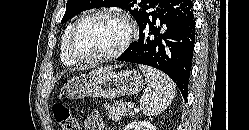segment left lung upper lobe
Listing matches in <instances>:
<instances>
[{
  "label": "left lung upper lobe",
  "mask_w": 249,
  "mask_h": 130,
  "mask_svg": "<svg viewBox=\"0 0 249 130\" xmlns=\"http://www.w3.org/2000/svg\"><path fill=\"white\" fill-rule=\"evenodd\" d=\"M161 0H68L66 12L61 23L66 22L78 13L99 7H120L128 10L140 26L150 16L151 9Z\"/></svg>",
  "instance_id": "obj_1"
}]
</instances>
